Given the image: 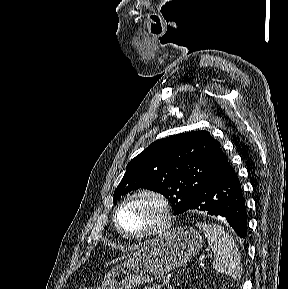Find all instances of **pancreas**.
Here are the masks:
<instances>
[{
    "label": "pancreas",
    "mask_w": 288,
    "mask_h": 289,
    "mask_svg": "<svg viewBox=\"0 0 288 289\" xmlns=\"http://www.w3.org/2000/svg\"><path fill=\"white\" fill-rule=\"evenodd\" d=\"M144 289H161V285L153 284L152 286L145 287Z\"/></svg>",
    "instance_id": "pancreas-1"
}]
</instances>
